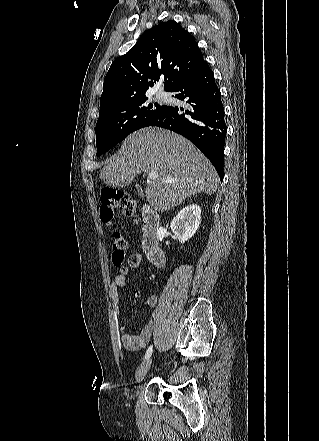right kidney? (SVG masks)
<instances>
[{"label":"right kidney","mask_w":319,"mask_h":441,"mask_svg":"<svg viewBox=\"0 0 319 441\" xmlns=\"http://www.w3.org/2000/svg\"><path fill=\"white\" fill-rule=\"evenodd\" d=\"M201 221V208L197 204L185 206L171 222V230L180 243H185L192 238L199 228Z\"/></svg>","instance_id":"ca27d5eb"}]
</instances>
